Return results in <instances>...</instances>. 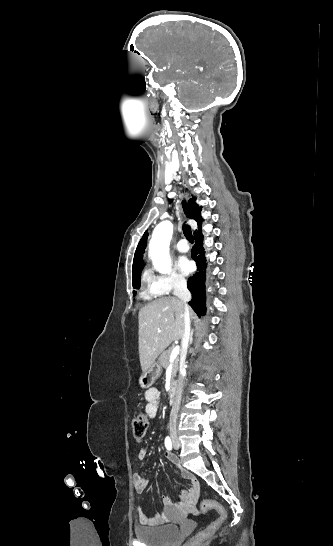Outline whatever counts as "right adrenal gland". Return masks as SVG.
<instances>
[{
  "mask_svg": "<svg viewBox=\"0 0 333 546\" xmlns=\"http://www.w3.org/2000/svg\"><path fill=\"white\" fill-rule=\"evenodd\" d=\"M193 334H194V330L192 329L190 334V344L193 343Z\"/></svg>",
  "mask_w": 333,
  "mask_h": 546,
  "instance_id": "1",
  "label": "right adrenal gland"
}]
</instances>
